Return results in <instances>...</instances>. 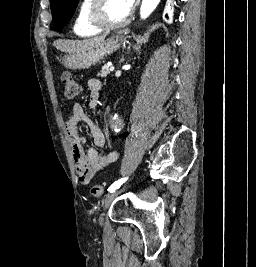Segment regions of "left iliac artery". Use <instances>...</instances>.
Listing matches in <instances>:
<instances>
[{
	"instance_id": "44dca946",
	"label": "left iliac artery",
	"mask_w": 256,
	"mask_h": 267,
	"mask_svg": "<svg viewBox=\"0 0 256 267\" xmlns=\"http://www.w3.org/2000/svg\"><path fill=\"white\" fill-rule=\"evenodd\" d=\"M128 178H121L117 181H115L109 188L108 191L114 192L116 189H118Z\"/></svg>"
}]
</instances>
